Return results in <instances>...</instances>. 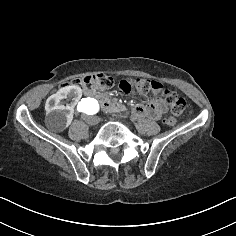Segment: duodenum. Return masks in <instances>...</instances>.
Returning a JSON list of instances; mask_svg holds the SVG:
<instances>
[{"instance_id":"duodenum-1","label":"duodenum","mask_w":236,"mask_h":236,"mask_svg":"<svg viewBox=\"0 0 236 236\" xmlns=\"http://www.w3.org/2000/svg\"><path fill=\"white\" fill-rule=\"evenodd\" d=\"M85 94L88 97L95 99L99 103L101 109L106 113L124 114L127 111L125 105L112 101L109 97H107L104 93L100 91L91 90L86 91Z\"/></svg>"}]
</instances>
